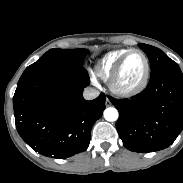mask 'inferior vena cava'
<instances>
[{"label": "inferior vena cava", "instance_id": "inferior-vena-cava-1", "mask_svg": "<svg viewBox=\"0 0 183 183\" xmlns=\"http://www.w3.org/2000/svg\"><path fill=\"white\" fill-rule=\"evenodd\" d=\"M99 96V91L92 87H87L84 89L83 97L86 100H92Z\"/></svg>", "mask_w": 183, "mask_h": 183}]
</instances>
